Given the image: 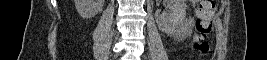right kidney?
Masks as SVG:
<instances>
[{"instance_id": "1", "label": "right kidney", "mask_w": 267, "mask_h": 60, "mask_svg": "<svg viewBox=\"0 0 267 60\" xmlns=\"http://www.w3.org/2000/svg\"><path fill=\"white\" fill-rule=\"evenodd\" d=\"M77 12L83 18H92L104 5V0H74Z\"/></svg>"}]
</instances>
